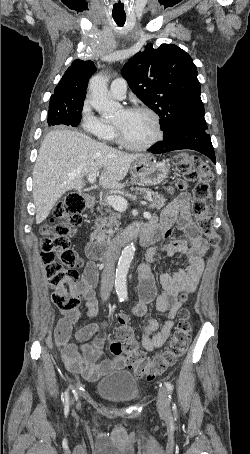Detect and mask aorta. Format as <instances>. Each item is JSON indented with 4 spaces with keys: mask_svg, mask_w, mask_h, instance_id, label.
Returning a JSON list of instances; mask_svg holds the SVG:
<instances>
[{
    "mask_svg": "<svg viewBox=\"0 0 250 454\" xmlns=\"http://www.w3.org/2000/svg\"><path fill=\"white\" fill-rule=\"evenodd\" d=\"M89 103L103 116H112L120 108L110 96L107 88V78L103 72L93 76L89 82ZM135 245L128 244L122 251L118 261L115 276V290L120 300L128 296L126 277L135 254Z\"/></svg>",
    "mask_w": 250,
    "mask_h": 454,
    "instance_id": "obj_1",
    "label": "aorta"
}]
</instances>
